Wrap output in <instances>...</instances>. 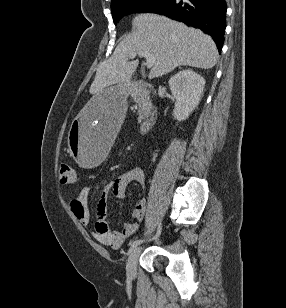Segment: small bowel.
<instances>
[{
    "instance_id": "obj_1",
    "label": "small bowel",
    "mask_w": 286,
    "mask_h": 308,
    "mask_svg": "<svg viewBox=\"0 0 286 308\" xmlns=\"http://www.w3.org/2000/svg\"><path fill=\"white\" fill-rule=\"evenodd\" d=\"M136 182L140 186L145 184V175L143 170L138 166H132L110 181L102 190L100 199L97 205V213L99 220L95 224L93 232L94 238L100 243L113 247L120 248L125 240L137 232L139 224L135 221H142L146 213V204L141 200L133 209L132 220L125 223L121 231H112L105 223L107 215V197L111 194L115 199H123L125 196L126 187L129 183ZM90 189L82 187L76 197L70 202V209L81 224L87 226L90 224V212L88 208V197Z\"/></svg>"
}]
</instances>
